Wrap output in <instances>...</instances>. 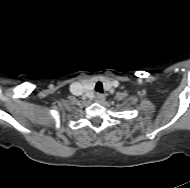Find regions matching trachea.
<instances>
[{
	"instance_id": "trachea-1",
	"label": "trachea",
	"mask_w": 190,
	"mask_h": 188,
	"mask_svg": "<svg viewBox=\"0 0 190 188\" xmlns=\"http://www.w3.org/2000/svg\"><path fill=\"white\" fill-rule=\"evenodd\" d=\"M95 91L102 93L103 92V85L101 82H97L95 85Z\"/></svg>"
}]
</instances>
